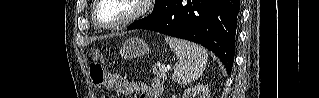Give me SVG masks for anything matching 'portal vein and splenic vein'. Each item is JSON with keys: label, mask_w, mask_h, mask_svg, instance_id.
I'll return each instance as SVG.
<instances>
[{"label": "portal vein and splenic vein", "mask_w": 319, "mask_h": 98, "mask_svg": "<svg viewBox=\"0 0 319 98\" xmlns=\"http://www.w3.org/2000/svg\"><path fill=\"white\" fill-rule=\"evenodd\" d=\"M160 67L162 68V70L164 71H167V70H170L171 67L170 66H163V65H160Z\"/></svg>", "instance_id": "portal-vein-and-splenic-vein-1"}]
</instances>
